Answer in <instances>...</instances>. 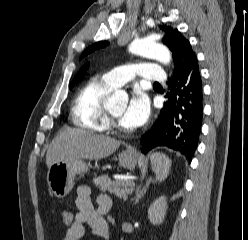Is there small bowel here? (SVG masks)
<instances>
[{
	"instance_id": "small-bowel-1",
	"label": "small bowel",
	"mask_w": 248,
	"mask_h": 240,
	"mask_svg": "<svg viewBox=\"0 0 248 240\" xmlns=\"http://www.w3.org/2000/svg\"><path fill=\"white\" fill-rule=\"evenodd\" d=\"M75 204L77 212L72 223L66 227L62 240H80L85 233L84 224H88L98 235L95 227L98 223L105 222L104 216L112 206L111 198L106 194L93 197L89 186L80 185L76 190Z\"/></svg>"
}]
</instances>
